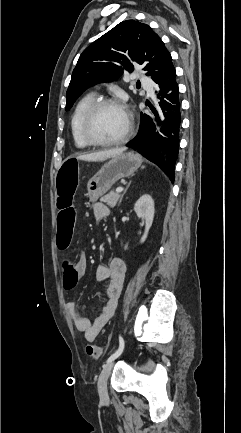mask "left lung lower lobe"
I'll return each mask as SVG.
<instances>
[{
  "instance_id": "left-lung-lower-lobe-1",
  "label": "left lung lower lobe",
  "mask_w": 241,
  "mask_h": 433,
  "mask_svg": "<svg viewBox=\"0 0 241 433\" xmlns=\"http://www.w3.org/2000/svg\"><path fill=\"white\" fill-rule=\"evenodd\" d=\"M155 83L158 105H149L154 115L141 113L138 134L126 146L136 149L158 165L174 181L180 142L181 102L173 64Z\"/></svg>"
}]
</instances>
